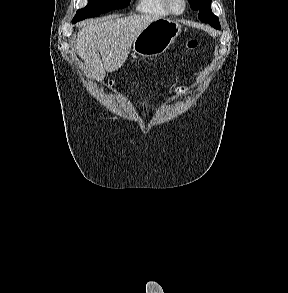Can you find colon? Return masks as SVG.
Listing matches in <instances>:
<instances>
[{"label":"colon","mask_w":288,"mask_h":293,"mask_svg":"<svg viewBox=\"0 0 288 293\" xmlns=\"http://www.w3.org/2000/svg\"><path fill=\"white\" fill-rule=\"evenodd\" d=\"M198 46V42L197 40H190L188 43H187V48L189 50H194L196 47Z\"/></svg>","instance_id":"colon-1"}]
</instances>
